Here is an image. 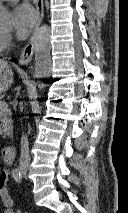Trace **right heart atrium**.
I'll return each mask as SVG.
<instances>
[{
  "instance_id": "right-heart-atrium-1",
  "label": "right heart atrium",
  "mask_w": 128,
  "mask_h": 213,
  "mask_svg": "<svg viewBox=\"0 0 128 213\" xmlns=\"http://www.w3.org/2000/svg\"><path fill=\"white\" fill-rule=\"evenodd\" d=\"M12 37L7 32H0V52L8 49L11 46Z\"/></svg>"
}]
</instances>
